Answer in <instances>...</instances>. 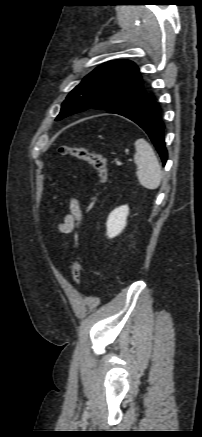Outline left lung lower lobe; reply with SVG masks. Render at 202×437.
<instances>
[{
    "mask_svg": "<svg viewBox=\"0 0 202 437\" xmlns=\"http://www.w3.org/2000/svg\"><path fill=\"white\" fill-rule=\"evenodd\" d=\"M107 112L122 115L137 123L148 134L165 165L167 150L163 135L164 125L154 95L145 92Z\"/></svg>",
    "mask_w": 202,
    "mask_h": 437,
    "instance_id": "obj_1",
    "label": "left lung lower lobe"
}]
</instances>
